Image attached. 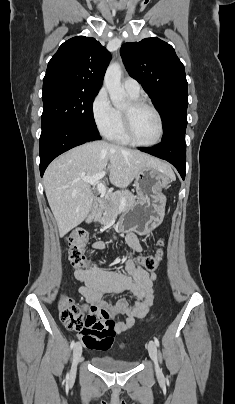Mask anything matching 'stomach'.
<instances>
[{
  "mask_svg": "<svg viewBox=\"0 0 235 404\" xmlns=\"http://www.w3.org/2000/svg\"><path fill=\"white\" fill-rule=\"evenodd\" d=\"M138 201L125 209L118 226L122 232L146 235L158 227L164 217L166 197L162 190L170 186V177L159 169L147 166L135 177Z\"/></svg>",
  "mask_w": 235,
  "mask_h": 404,
  "instance_id": "0dacf381",
  "label": "stomach"
}]
</instances>
